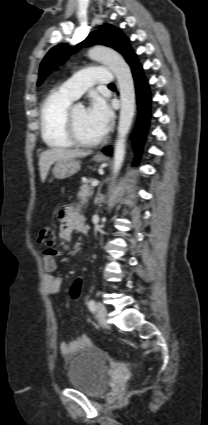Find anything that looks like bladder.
<instances>
[{"label": "bladder", "instance_id": "31cf9c89", "mask_svg": "<svg viewBox=\"0 0 208 425\" xmlns=\"http://www.w3.org/2000/svg\"><path fill=\"white\" fill-rule=\"evenodd\" d=\"M108 362L109 357L95 349L81 351L68 366V384L88 396L101 395L109 382Z\"/></svg>", "mask_w": 208, "mask_h": 425}]
</instances>
